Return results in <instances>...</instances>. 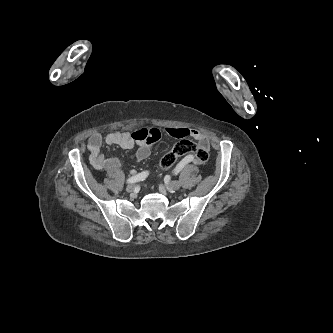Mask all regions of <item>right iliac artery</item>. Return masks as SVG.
I'll list each match as a JSON object with an SVG mask.
<instances>
[{
  "label": "right iliac artery",
  "mask_w": 333,
  "mask_h": 333,
  "mask_svg": "<svg viewBox=\"0 0 333 333\" xmlns=\"http://www.w3.org/2000/svg\"><path fill=\"white\" fill-rule=\"evenodd\" d=\"M147 176H148V172L147 171L141 172V173H139V174H137L135 176H132V177L128 178L127 179V183L130 184V183H136V182L142 181Z\"/></svg>",
  "instance_id": "82829eb1"
}]
</instances>
